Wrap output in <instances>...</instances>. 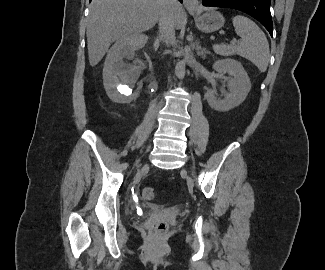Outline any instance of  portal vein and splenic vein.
<instances>
[{
	"label": "portal vein and splenic vein",
	"mask_w": 325,
	"mask_h": 270,
	"mask_svg": "<svg viewBox=\"0 0 325 270\" xmlns=\"http://www.w3.org/2000/svg\"><path fill=\"white\" fill-rule=\"evenodd\" d=\"M231 43L232 44H236V43H239V41H237V40L234 39V40L231 41Z\"/></svg>",
	"instance_id": "18ae733b"
}]
</instances>
